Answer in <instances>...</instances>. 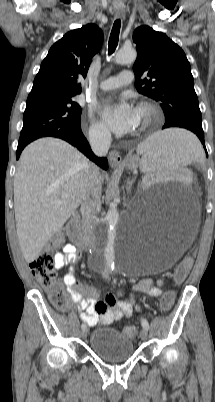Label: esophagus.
<instances>
[{"mask_svg":"<svg viewBox=\"0 0 215 402\" xmlns=\"http://www.w3.org/2000/svg\"><path fill=\"white\" fill-rule=\"evenodd\" d=\"M125 11L121 9L115 10V17L116 18H121L124 17ZM109 163L112 167L116 168L119 167L122 163V157L119 151L117 150H112L109 153Z\"/></svg>","mask_w":215,"mask_h":402,"instance_id":"34e87169","label":"esophagus"}]
</instances>
